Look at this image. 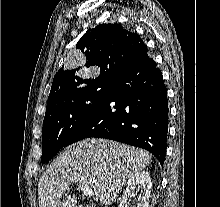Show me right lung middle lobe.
<instances>
[{"label":"right lung middle lobe","instance_id":"right-lung-middle-lobe-1","mask_svg":"<svg viewBox=\"0 0 220 207\" xmlns=\"http://www.w3.org/2000/svg\"><path fill=\"white\" fill-rule=\"evenodd\" d=\"M108 83L81 87L47 104L42 131V163L69 144L75 130L101 105Z\"/></svg>","mask_w":220,"mask_h":207}]
</instances>
